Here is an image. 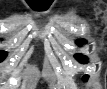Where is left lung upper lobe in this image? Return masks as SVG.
<instances>
[{
  "instance_id": "left-lung-upper-lobe-1",
  "label": "left lung upper lobe",
  "mask_w": 107,
  "mask_h": 89,
  "mask_svg": "<svg viewBox=\"0 0 107 89\" xmlns=\"http://www.w3.org/2000/svg\"><path fill=\"white\" fill-rule=\"evenodd\" d=\"M77 43L78 44H84V43H86V41L85 40H79V41H77ZM75 58L81 63L87 62V57L83 56L82 54H75ZM82 79H83V81H87L88 75H84Z\"/></svg>"
}]
</instances>
